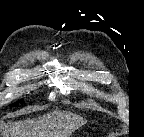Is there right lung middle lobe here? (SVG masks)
Segmentation results:
<instances>
[{"mask_svg":"<svg viewBox=\"0 0 144 137\" xmlns=\"http://www.w3.org/2000/svg\"><path fill=\"white\" fill-rule=\"evenodd\" d=\"M22 101H23V100H20V102H22ZM13 105H14V106L18 105V102L14 103Z\"/></svg>","mask_w":144,"mask_h":137,"instance_id":"obj_1","label":"right lung middle lobe"}]
</instances>
